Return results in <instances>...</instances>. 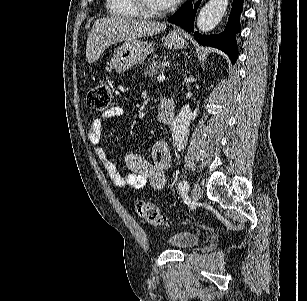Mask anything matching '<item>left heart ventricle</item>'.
I'll return each instance as SVG.
<instances>
[{"mask_svg": "<svg viewBox=\"0 0 307 301\" xmlns=\"http://www.w3.org/2000/svg\"><path fill=\"white\" fill-rule=\"evenodd\" d=\"M147 1L152 3V4H157L158 3V0H147ZM154 11H157V10H154Z\"/></svg>", "mask_w": 307, "mask_h": 301, "instance_id": "left-heart-ventricle-1", "label": "left heart ventricle"}]
</instances>
